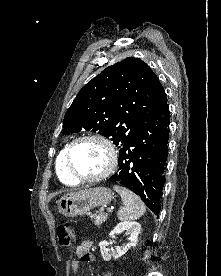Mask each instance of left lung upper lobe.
Segmentation results:
<instances>
[{"instance_id":"1","label":"left lung upper lobe","mask_w":221,"mask_h":276,"mask_svg":"<svg viewBox=\"0 0 221 276\" xmlns=\"http://www.w3.org/2000/svg\"><path fill=\"white\" fill-rule=\"evenodd\" d=\"M166 104V93L150 67L128 57L79 91L65 114L63 133L97 131L121 149Z\"/></svg>"}]
</instances>
